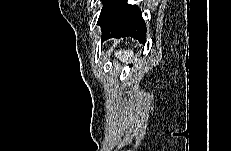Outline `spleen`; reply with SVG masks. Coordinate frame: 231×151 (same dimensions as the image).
Listing matches in <instances>:
<instances>
[{
    "instance_id": "spleen-1",
    "label": "spleen",
    "mask_w": 231,
    "mask_h": 151,
    "mask_svg": "<svg viewBox=\"0 0 231 151\" xmlns=\"http://www.w3.org/2000/svg\"><path fill=\"white\" fill-rule=\"evenodd\" d=\"M115 56L122 62L128 63L132 58H134L133 51H116Z\"/></svg>"
}]
</instances>
